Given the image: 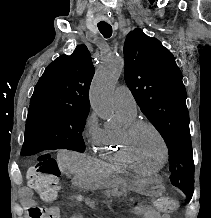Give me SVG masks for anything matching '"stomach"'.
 <instances>
[{
  "label": "stomach",
  "instance_id": "obj_1",
  "mask_svg": "<svg viewBox=\"0 0 211 218\" xmlns=\"http://www.w3.org/2000/svg\"><path fill=\"white\" fill-rule=\"evenodd\" d=\"M75 183L86 189L123 187L148 196H158L163 192L162 180L158 176H106L101 174L84 173L76 175Z\"/></svg>",
  "mask_w": 211,
  "mask_h": 218
}]
</instances>
